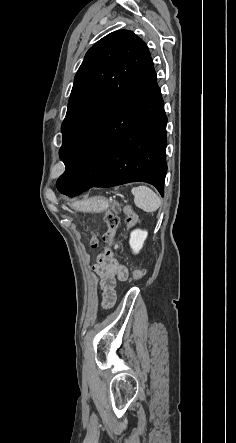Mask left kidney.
<instances>
[{
	"instance_id": "1",
	"label": "left kidney",
	"mask_w": 236,
	"mask_h": 443,
	"mask_svg": "<svg viewBox=\"0 0 236 443\" xmlns=\"http://www.w3.org/2000/svg\"><path fill=\"white\" fill-rule=\"evenodd\" d=\"M148 232L146 230L135 229L130 234L129 244L135 254L142 249L144 241L146 240Z\"/></svg>"
}]
</instances>
